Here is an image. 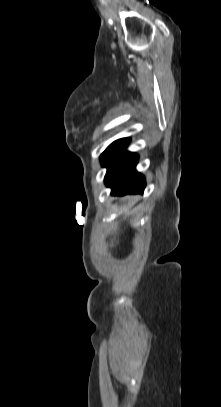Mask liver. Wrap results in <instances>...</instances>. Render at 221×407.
<instances>
[{
    "instance_id": "liver-1",
    "label": "liver",
    "mask_w": 221,
    "mask_h": 407,
    "mask_svg": "<svg viewBox=\"0 0 221 407\" xmlns=\"http://www.w3.org/2000/svg\"><path fill=\"white\" fill-rule=\"evenodd\" d=\"M126 199L130 200V199H131V197H130V196H128ZM114 241H115L114 239H112V240H111V244H112V245H113Z\"/></svg>"
}]
</instances>
